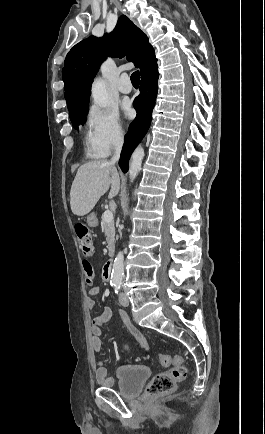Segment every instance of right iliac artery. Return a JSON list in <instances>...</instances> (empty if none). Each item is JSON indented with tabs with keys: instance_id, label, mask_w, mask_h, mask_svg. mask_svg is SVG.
Instances as JSON below:
<instances>
[{
	"instance_id": "obj_1",
	"label": "right iliac artery",
	"mask_w": 265,
	"mask_h": 434,
	"mask_svg": "<svg viewBox=\"0 0 265 434\" xmlns=\"http://www.w3.org/2000/svg\"><path fill=\"white\" fill-rule=\"evenodd\" d=\"M110 285H111V286H115L116 283L111 281V282H110Z\"/></svg>"
}]
</instances>
